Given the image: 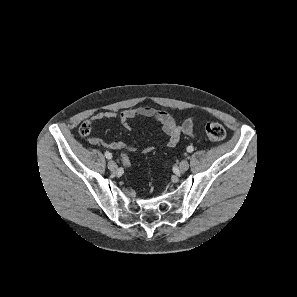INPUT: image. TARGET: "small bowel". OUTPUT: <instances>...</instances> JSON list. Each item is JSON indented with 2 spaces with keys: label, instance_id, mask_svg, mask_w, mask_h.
Segmentation results:
<instances>
[{
  "label": "small bowel",
  "instance_id": "obj_1",
  "mask_svg": "<svg viewBox=\"0 0 297 297\" xmlns=\"http://www.w3.org/2000/svg\"><path fill=\"white\" fill-rule=\"evenodd\" d=\"M134 118H146L158 122L167 137V145L169 147L176 146L182 135H188L190 137L195 136L197 130V125L193 117L187 118L181 124H178L170 113L152 107L131 108L124 110L119 114L113 111H98L91 116L89 122L92 124L100 120L116 119L120 126L126 130H130V121ZM88 140L93 145H99L110 150H137L136 147L121 141H107L96 136H90ZM153 150V146H146L141 152L142 154H149Z\"/></svg>",
  "mask_w": 297,
  "mask_h": 297
}]
</instances>
